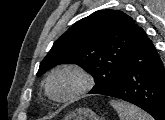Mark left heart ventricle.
Masks as SVG:
<instances>
[{
	"label": "left heart ventricle",
	"mask_w": 165,
	"mask_h": 120,
	"mask_svg": "<svg viewBox=\"0 0 165 120\" xmlns=\"http://www.w3.org/2000/svg\"><path fill=\"white\" fill-rule=\"evenodd\" d=\"M79 85L78 78L69 72L56 75L51 82V90L56 97H65Z\"/></svg>",
	"instance_id": "left-heart-ventricle-1"
}]
</instances>
